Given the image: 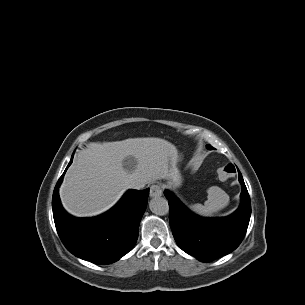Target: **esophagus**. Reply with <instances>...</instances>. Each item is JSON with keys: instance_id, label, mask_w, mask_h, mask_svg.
Segmentation results:
<instances>
[{"instance_id": "obj_1", "label": "esophagus", "mask_w": 305, "mask_h": 305, "mask_svg": "<svg viewBox=\"0 0 305 305\" xmlns=\"http://www.w3.org/2000/svg\"><path fill=\"white\" fill-rule=\"evenodd\" d=\"M162 195V188L158 184L150 186V197H159Z\"/></svg>"}]
</instances>
